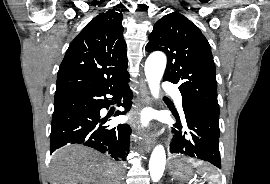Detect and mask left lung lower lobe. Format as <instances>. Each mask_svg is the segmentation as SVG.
Listing matches in <instances>:
<instances>
[{"label": "left lung lower lobe", "mask_w": 270, "mask_h": 184, "mask_svg": "<svg viewBox=\"0 0 270 184\" xmlns=\"http://www.w3.org/2000/svg\"><path fill=\"white\" fill-rule=\"evenodd\" d=\"M183 118L174 113V138L170 152L210 162L221 169L219 152V117L194 105L183 104Z\"/></svg>", "instance_id": "obj_1"}]
</instances>
